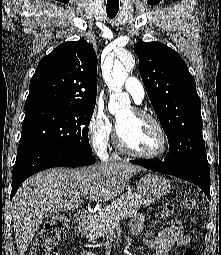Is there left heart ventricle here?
Masks as SVG:
<instances>
[{
	"label": "left heart ventricle",
	"mask_w": 221,
	"mask_h": 255,
	"mask_svg": "<svg viewBox=\"0 0 221 255\" xmlns=\"http://www.w3.org/2000/svg\"><path fill=\"white\" fill-rule=\"evenodd\" d=\"M117 130L125 143L135 151L152 154L161 147V138L156 127L134 115L131 110L119 116Z\"/></svg>",
	"instance_id": "left-heart-ventricle-1"
}]
</instances>
